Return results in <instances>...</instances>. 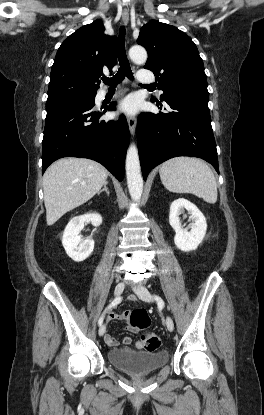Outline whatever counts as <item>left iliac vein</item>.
<instances>
[{"mask_svg": "<svg viewBox=\"0 0 264 415\" xmlns=\"http://www.w3.org/2000/svg\"><path fill=\"white\" fill-rule=\"evenodd\" d=\"M133 291L143 301L151 302L153 300L151 295H150V292L148 291V289L145 286L141 285V286L135 287V288H133ZM165 323H166L167 329L169 331H173L174 323H173V320L170 316H168V315L166 316Z\"/></svg>", "mask_w": 264, "mask_h": 415, "instance_id": "1", "label": "left iliac vein"}]
</instances>
